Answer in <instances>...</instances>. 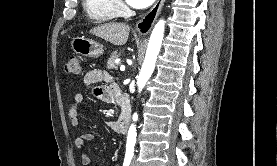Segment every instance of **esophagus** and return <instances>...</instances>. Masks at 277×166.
Listing matches in <instances>:
<instances>
[{"label":"esophagus","instance_id":"esophagus-1","mask_svg":"<svg viewBox=\"0 0 277 166\" xmlns=\"http://www.w3.org/2000/svg\"><path fill=\"white\" fill-rule=\"evenodd\" d=\"M165 0H157L154 6L148 11L136 24V30L139 34H148L152 29Z\"/></svg>","mask_w":277,"mask_h":166}]
</instances>
